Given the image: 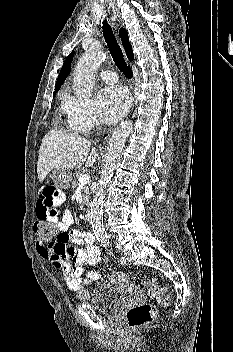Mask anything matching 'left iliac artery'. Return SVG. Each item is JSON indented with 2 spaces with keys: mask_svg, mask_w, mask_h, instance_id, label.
Instances as JSON below:
<instances>
[{
  "mask_svg": "<svg viewBox=\"0 0 233 352\" xmlns=\"http://www.w3.org/2000/svg\"><path fill=\"white\" fill-rule=\"evenodd\" d=\"M120 263H122V264L126 263V261H125L123 256L120 258Z\"/></svg>",
  "mask_w": 233,
  "mask_h": 352,
  "instance_id": "left-iliac-artery-1",
  "label": "left iliac artery"
}]
</instances>
